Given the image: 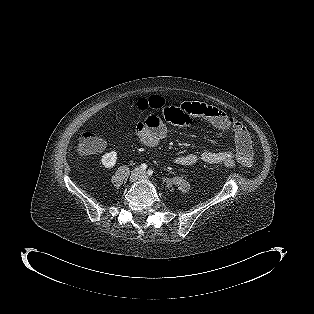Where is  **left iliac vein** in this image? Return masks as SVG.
I'll return each mask as SVG.
<instances>
[{
  "label": "left iliac vein",
  "mask_w": 314,
  "mask_h": 314,
  "mask_svg": "<svg viewBox=\"0 0 314 314\" xmlns=\"http://www.w3.org/2000/svg\"><path fill=\"white\" fill-rule=\"evenodd\" d=\"M141 179H147L146 172H141Z\"/></svg>",
  "instance_id": "1"
}]
</instances>
